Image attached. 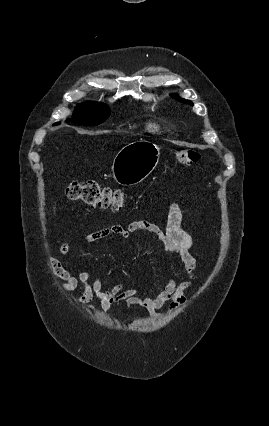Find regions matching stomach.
Wrapping results in <instances>:
<instances>
[{"label": "stomach", "instance_id": "stomach-1", "mask_svg": "<svg viewBox=\"0 0 269 426\" xmlns=\"http://www.w3.org/2000/svg\"><path fill=\"white\" fill-rule=\"evenodd\" d=\"M159 157L160 149L154 143L142 139L129 143L113 160V178L123 186L136 185L156 168Z\"/></svg>", "mask_w": 269, "mask_h": 426}]
</instances>
